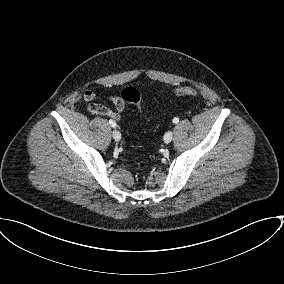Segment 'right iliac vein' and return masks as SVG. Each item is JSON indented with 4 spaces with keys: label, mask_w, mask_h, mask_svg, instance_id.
I'll use <instances>...</instances> for the list:
<instances>
[{
    "label": "right iliac vein",
    "mask_w": 284,
    "mask_h": 284,
    "mask_svg": "<svg viewBox=\"0 0 284 284\" xmlns=\"http://www.w3.org/2000/svg\"><path fill=\"white\" fill-rule=\"evenodd\" d=\"M112 136H113L114 140L117 141V142L121 140V134L118 130H114L112 132Z\"/></svg>",
    "instance_id": "63e3f726"
}]
</instances>
